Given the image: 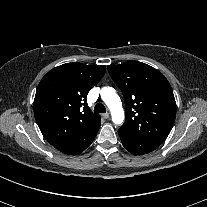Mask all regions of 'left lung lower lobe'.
I'll return each instance as SVG.
<instances>
[{
	"mask_svg": "<svg viewBox=\"0 0 207 207\" xmlns=\"http://www.w3.org/2000/svg\"><path fill=\"white\" fill-rule=\"evenodd\" d=\"M118 133L123 146L135 155L152 152L161 144V142L140 138L122 130H118Z\"/></svg>",
	"mask_w": 207,
	"mask_h": 207,
	"instance_id": "1",
	"label": "left lung lower lobe"
}]
</instances>
